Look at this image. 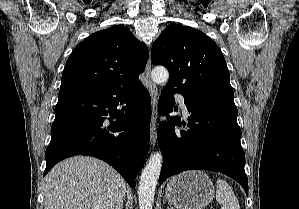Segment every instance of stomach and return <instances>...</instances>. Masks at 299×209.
I'll return each mask as SVG.
<instances>
[{"label":"stomach","mask_w":299,"mask_h":209,"mask_svg":"<svg viewBox=\"0 0 299 209\" xmlns=\"http://www.w3.org/2000/svg\"><path fill=\"white\" fill-rule=\"evenodd\" d=\"M165 196L177 209H203L214 198V186L203 171H186L169 181Z\"/></svg>","instance_id":"0dacf381"}]
</instances>
